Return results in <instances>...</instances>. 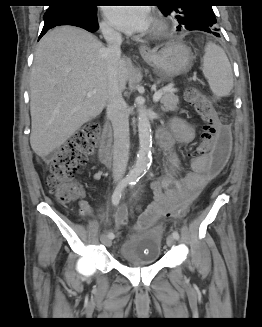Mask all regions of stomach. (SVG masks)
<instances>
[{"mask_svg": "<svg viewBox=\"0 0 262 327\" xmlns=\"http://www.w3.org/2000/svg\"><path fill=\"white\" fill-rule=\"evenodd\" d=\"M143 59L154 67L162 79H169L186 73L191 67L193 57L190 48L173 42L150 55H143Z\"/></svg>", "mask_w": 262, "mask_h": 327, "instance_id": "1", "label": "stomach"}]
</instances>
